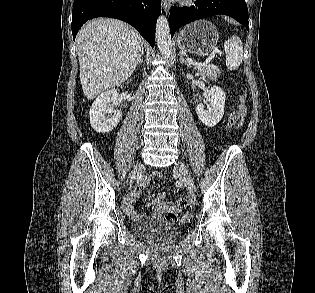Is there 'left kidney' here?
I'll return each mask as SVG.
<instances>
[{"mask_svg":"<svg viewBox=\"0 0 315 293\" xmlns=\"http://www.w3.org/2000/svg\"><path fill=\"white\" fill-rule=\"evenodd\" d=\"M225 100L224 91L218 86H213L208 91V109H205V102L197 105V116L205 126L213 127L220 122L224 114Z\"/></svg>","mask_w":315,"mask_h":293,"instance_id":"5707ae66","label":"left kidney"}]
</instances>
